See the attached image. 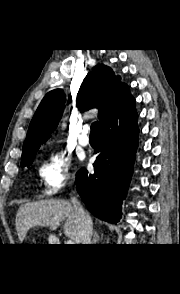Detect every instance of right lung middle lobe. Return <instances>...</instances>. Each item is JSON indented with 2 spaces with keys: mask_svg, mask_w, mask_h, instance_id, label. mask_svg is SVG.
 <instances>
[{
  "mask_svg": "<svg viewBox=\"0 0 180 294\" xmlns=\"http://www.w3.org/2000/svg\"><path fill=\"white\" fill-rule=\"evenodd\" d=\"M34 157H35V155L28 158V159H26V160H24V161H21V166L22 167L30 166L32 164V162H33Z\"/></svg>",
  "mask_w": 180,
  "mask_h": 294,
  "instance_id": "obj_1",
  "label": "right lung middle lobe"
}]
</instances>
